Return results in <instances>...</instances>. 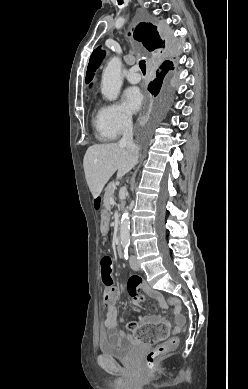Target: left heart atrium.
Returning a JSON list of instances; mask_svg holds the SVG:
<instances>
[{"label":"left heart atrium","mask_w":248,"mask_h":389,"mask_svg":"<svg viewBox=\"0 0 248 389\" xmlns=\"http://www.w3.org/2000/svg\"><path fill=\"white\" fill-rule=\"evenodd\" d=\"M142 94L139 89L130 87L123 93V103L129 112H136L142 104Z\"/></svg>","instance_id":"1"}]
</instances>
